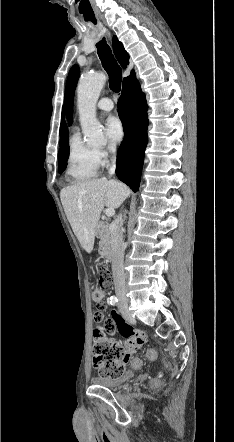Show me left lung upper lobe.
Segmentation results:
<instances>
[{
    "instance_id": "obj_1",
    "label": "left lung upper lobe",
    "mask_w": 234,
    "mask_h": 442,
    "mask_svg": "<svg viewBox=\"0 0 234 442\" xmlns=\"http://www.w3.org/2000/svg\"><path fill=\"white\" fill-rule=\"evenodd\" d=\"M80 75V70L77 65L72 66L66 83L65 89V99H64V107L66 110V117L71 125L73 120V99H74V91Z\"/></svg>"
}]
</instances>
